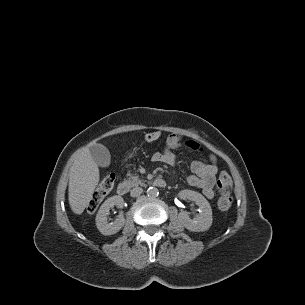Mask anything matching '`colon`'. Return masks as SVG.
Wrapping results in <instances>:
<instances>
[{"label":"colon","instance_id":"colon-1","mask_svg":"<svg viewBox=\"0 0 305 305\" xmlns=\"http://www.w3.org/2000/svg\"><path fill=\"white\" fill-rule=\"evenodd\" d=\"M160 136H161L160 131H153L147 133L144 139L146 142L151 143L158 140ZM187 146L192 149H196L197 147L196 144H194V142L192 141L187 142ZM115 181H116V177L113 173L106 175L102 179L98 188L92 194L88 202L87 205L88 213H94L98 209L102 201L105 199V197L110 193V191L114 187ZM231 187H232V179L230 175L227 173L220 174L217 180V189L219 192L217 204L221 210H228L232 205L233 199L230 193Z\"/></svg>","mask_w":305,"mask_h":305}]
</instances>
